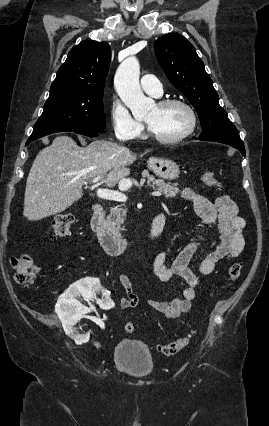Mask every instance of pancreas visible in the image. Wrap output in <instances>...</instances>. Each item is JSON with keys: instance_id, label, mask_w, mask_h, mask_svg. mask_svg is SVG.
Returning <instances> with one entry per match:
<instances>
[{"instance_id": "obj_1", "label": "pancreas", "mask_w": 269, "mask_h": 426, "mask_svg": "<svg viewBox=\"0 0 269 426\" xmlns=\"http://www.w3.org/2000/svg\"><path fill=\"white\" fill-rule=\"evenodd\" d=\"M144 176L147 178L148 186L152 187L154 190L163 192L166 198L175 197L179 192L177 184L165 183L162 179H155L153 175H149L148 173H144ZM125 217L126 209L121 208V206H115L110 209L107 222L120 229L121 224L124 223Z\"/></svg>"}]
</instances>
